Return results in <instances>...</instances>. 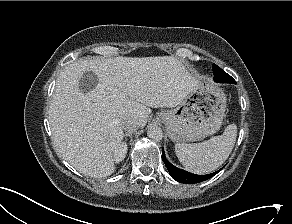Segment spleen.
<instances>
[{"instance_id":"obj_1","label":"spleen","mask_w":292,"mask_h":224,"mask_svg":"<svg viewBox=\"0 0 292 224\" xmlns=\"http://www.w3.org/2000/svg\"><path fill=\"white\" fill-rule=\"evenodd\" d=\"M237 136V126L226 127L220 136L196 144L176 143L175 152L185 169L195 174H208L229 157Z\"/></svg>"}]
</instances>
